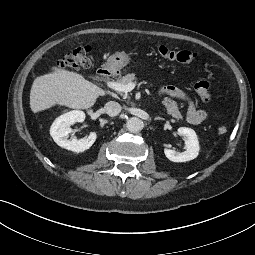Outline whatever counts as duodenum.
Returning <instances> with one entry per match:
<instances>
[{
  "instance_id": "obj_1",
  "label": "duodenum",
  "mask_w": 255,
  "mask_h": 255,
  "mask_svg": "<svg viewBox=\"0 0 255 255\" xmlns=\"http://www.w3.org/2000/svg\"><path fill=\"white\" fill-rule=\"evenodd\" d=\"M115 76H116L115 72L110 70L106 66H102L97 71L98 78H108V77H115Z\"/></svg>"
}]
</instances>
